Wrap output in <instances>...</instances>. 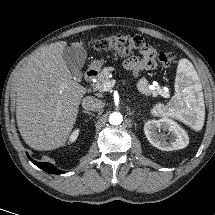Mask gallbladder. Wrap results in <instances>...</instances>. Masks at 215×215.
<instances>
[{
	"mask_svg": "<svg viewBox=\"0 0 215 215\" xmlns=\"http://www.w3.org/2000/svg\"><path fill=\"white\" fill-rule=\"evenodd\" d=\"M86 55L82 46H66L63 49L62 58L77 80L82 78L81 68L84 66Z\"/></svg>",
	"mask_w": 215,
	"mask_h": 215,
	"instance_id": "gallbladder-1",
	"label": "gallbladder"
}]
</instances>
